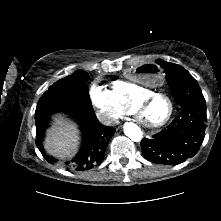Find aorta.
Returning <instances> with one entry per match:
<instances>
[{
  "mask_svg": "<svg viewBox=\"0 0 221 221\" xmlns=\"http://www.w3.org/2000/svg\"><path fill=\"white\" fill-rule=\"evenodd\" d=\"M124 134L135 142H139L142 139V131L140 127L132 122L124 125Z\"/></svg>",
  "mask_w": 221,
  "mask_h": 221,
  "instance_id": "762f6f07",
  "label": "aorta"
}]
</instances>
